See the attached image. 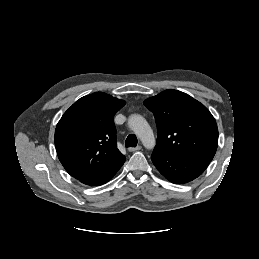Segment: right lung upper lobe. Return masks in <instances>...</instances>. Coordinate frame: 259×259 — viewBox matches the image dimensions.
I'll return each instance as SVG.
<instances>
[{
    "label": "right lung upper lobe",
    "instance_id": "cb5924a9",
    "mask_svg": "<svg viewBox=\"0 0 259 259\" xmlns=\"http://www.w3.org/2000/svg\"><path fill=\"white\" fill-rule=\"evenodd\" d=\"M125 101L103 92L77 100L55 130V146L66 171L79 181L100 177L125 161L117 149L115 113Z\"/></svg>",
    "mask_w": 259,
    "mask_h": 259
}]
</instances>
